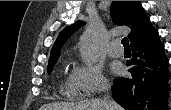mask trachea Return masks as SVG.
Segmentation results:
<instances>
[{"instance_id":"trachea-1","label":"trachea","mask_w":171,"mask_h":110,"mask_svg":"<svg viewBox=\"0 0 171 110\" xmlns=\"http://www.w3.org/2000/svg\"><path fill=\"white\" fill-rule=\"evenodd\" d=\"M122 44L124 46L125 49H129V41H128V38L124 37L122 39Z\"/></svg>"}]
</instances>
